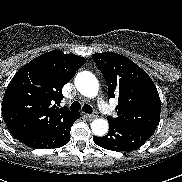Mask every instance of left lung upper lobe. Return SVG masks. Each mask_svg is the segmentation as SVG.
<instances>
[{
    "instance_id": "5c2ea615",
    "label": "left lung upper lobe",
    "mask_w": 182,
    "mask_h": 182,
    "mask_svg": "<svg viewBox=\"0 0 182 182\" xmlns=\"http://www.w3.org/2000/svg\"><path fill=\"white\" fill-rule=\"evenodd\" d=\"M92 58L105 78L109 98L118 99L117 117H108V121L156 130L161 103L149 75L127 57L114 52L95 53Z\"/></svg>"
}]
</instances>
